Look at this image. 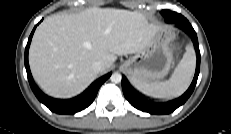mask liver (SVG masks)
I'll list each match as a JSON object with an SVG mask.
<instances>
[{"mask_svg": "<svg viewBox=\"0 0 231 134\" xmlns=\"http://www.w3.org/2000/svg\"><path fill=\"white\" fill-rule=\"evenodd\" d=\"M161 27L136 11L89 8L54 14L37 28L29 51L32 75L49 95L70 98L96 78V61L108 70L117 55L140 52Z\"/></svg>", "mask_w": 231, "mask_h": 134, "instance_id": "1", "label": "liver"}]
</instances>
